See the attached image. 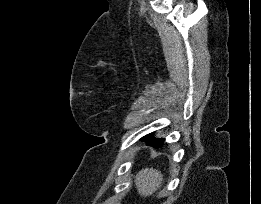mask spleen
<instances>
[{"instance_id":"3e777b00","label":"spleen","mask_w":261,"mask_h":204,"mask_svg":"<svg viewBox=\"0 0 261 204\" xmlns=\"http://www.w3.org/2000/svg\"><path fill=\"white\" fill-rule=\"evenodd\" d=\"M163 175L153 168H145L136 176V188L141 196L153 194L161 185Z\"/></svg>"}]
</instances>
